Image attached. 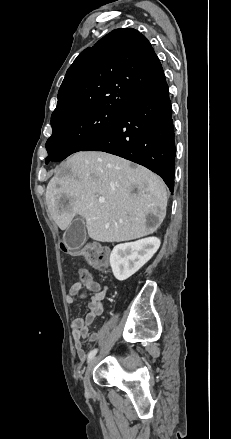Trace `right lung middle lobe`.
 Masks as SVG:
<instances>
[{
  "label": "right lung middle lobe",
  "mask_w": 231,
  "mask_h": 439,
  "mask_svg": "<svg viewBox=\"0 0 231 439\" xmlns=\"http://www.w3.org/2000/svg\"><path fill=\"white\" fill-rule=\"evenodd\" d=\"M121 114L116 110L92 108L51 119L53 132L46 142V164L83 151L112 128Z\"/></svg>",
  "instance_id": "1"
}]
</instances>
